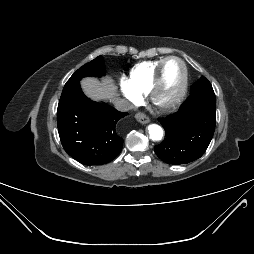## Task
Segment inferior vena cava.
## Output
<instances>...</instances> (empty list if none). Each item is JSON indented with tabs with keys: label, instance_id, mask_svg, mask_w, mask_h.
Instances as JSON below:
<instances>
[{
	"label": "inferior vena cava",
	"instance_id": "1",
	"mask_svg": "<svg viewBox=\"0 0 254 254\" xmlns=\"http://www.w3.org/2000/svg\"><path fill=\"white\" fill-rule=\"evenodd\" d=\"M114 106L117 110L119 111H128L130 110L133 106L125 99H118L115 100Z\"/></svg>",
	"mask_w": 254,
	"mask_h": 254
}]
</instances>
